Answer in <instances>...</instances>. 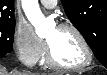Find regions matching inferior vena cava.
Returning a JSON list of instances; mask_svg holds the SVG:
<instances>
[{
  "label": "inferior vena cava",
  "mask_w": 107,
  "mask_h": 75,
  "mask_svg": "<svg viewBox=\"0 0 107 75\" xmlns=\"http://www.w3.org/2000/svg\"><path fill=\"white\" fill-rule=\"evenodd\" d=\"M15 73H20V72L15 71ZM20 74H22V75H30L31 73L29 71H27V70H22V73H20Z\"/></svg>",
  "instance_id": "inferior-vena-cava-1"
}]
</instances>
